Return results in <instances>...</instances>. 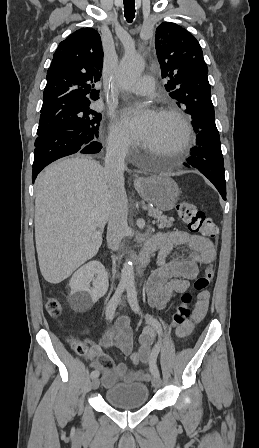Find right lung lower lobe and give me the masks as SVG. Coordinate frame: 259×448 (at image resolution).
Returning <instances> with one entry per match:
<instances>
[{
    "label": "right lung lower lobe",
    "mask_w": 259,
    "mask_h": 448,
    "mask_svg": "<svg viewBox=\"0 0 259 448\" xmlns=\"http://www.w3.org/2000/svg\"><path fill=\"white\" fill-rule=\"evenodd\" d=\"M32 182L38 173L51 162L74 154H94L100 152L102 144L89 141V137L69 130H57L38 136L35 141Z\"/></svg>",
    "instance_id": "1"
}]
</instances>
